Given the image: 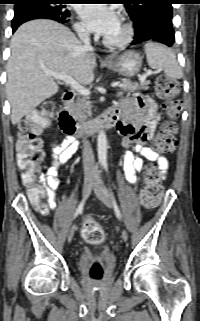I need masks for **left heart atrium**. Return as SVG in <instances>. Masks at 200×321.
Instances as JSON below:
<instances>
[{"label":"left heart atrium","mask_w":200,"mask_h":321,"mask_svg":"<svg viewBox=\"0 0 200 321\" xmlns=\"http://www.w3.org/2000/svg\"><path fill=\"white\" fill-rule=\"evenodd\" d=\"M79 15L90 31L102 36L110 34L120 23L116 11L106 4H84Z\"/></svg>","instance_id":"left-heart-atrium-1"}]
</instances>
